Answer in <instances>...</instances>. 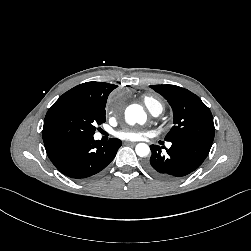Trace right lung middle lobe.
Wrapping results in <instances>:
<instances>
[{
	"instance_id": "right-lung-middle-lobe-1",
	"label": "right lung middle lobe",
	"mask_w": 251,
	"mask_h": 251,
	"mask_svg": "<svg viewBox=\"0 0 251 251\" xmlns=\"http://www.w3.org/2000/svg\"><path fill=\"white\" fill-rule=\"evenodd\" d=\"M105 102L61 96L48 110L43 126V141L90 137L96 126L105 122Z\"/></svg>"
}]
</instances>
